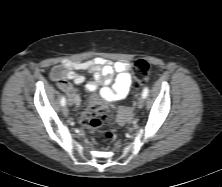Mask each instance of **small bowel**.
Here are the masks:
<instances>
[{"label": "small bowel", "instance_id": "small-bowel-1", "mask_svg": "<svg viewBox=\"0 0 222 187\" xmlns=\"http://www.w3.org/2000/svg\"><path fill=\"white\" fill-rule=\"evenodd\" d=\"M78 70L93 74L94 79L86 83L85 87L87 91L94 93L98 90L99 86H102L100 95L107 102L122 100L129 92L131 76L129 73L130 65L127 62H112L100 57L85 62L66 60L51 70L50 77L57 83L59 89L69 95L70 103L76 107L81 104V99L70 82L81 85L86 80L84 75L76 72ZM114 73H116V79L114 84L110 86ZM128 113L127 109H120L116 113V116H125Z\"/></svg>", "mask_w": 222, "mask_h": 187}]
</instances>
